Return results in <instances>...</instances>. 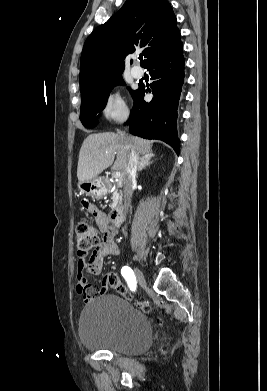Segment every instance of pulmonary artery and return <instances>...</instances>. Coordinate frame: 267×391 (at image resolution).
<instances>
[{"label": "pulmonary artery", "mask_w": 267, "mask_h": 391, "mask_svg": "<svg viewBox=\"0 0 267 391\" xmlns=\"http://www.w3.org/2000/svg\"><path fill=\"white\" fill-rule=\"evenodd\" d=\"M131 74L135 78H141L143 76V74H144V71H143V69L141 67L134 66L131 69Z\"/></svg>", "instance_id": "pulmonary-artery-1"}]
</instances>
